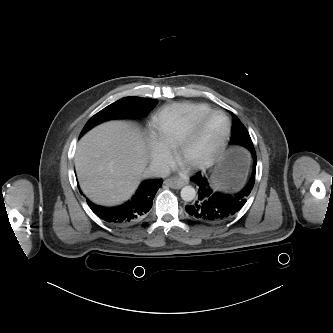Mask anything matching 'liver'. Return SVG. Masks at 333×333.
Returning <instances> with one entry per match:
<instances>
[{"instance_id": "6515ba94", "label": "liver", "mask_w": 333, "mask_h": 333, "mask_svg": "<svg viewBox=\"0 0 333 333\" xmlns=\"http://www.w3.org/2000/svg\"><path fill=\"white\" fill-rule=\"evenodd\" d=\"M142 133L110 121L89 131L77 145L75 169L84 194L100 205H115L135 191L145 169Z\"/></svg>"}]
</instances>
